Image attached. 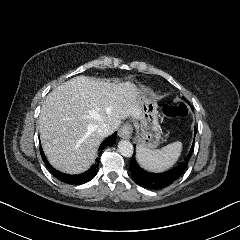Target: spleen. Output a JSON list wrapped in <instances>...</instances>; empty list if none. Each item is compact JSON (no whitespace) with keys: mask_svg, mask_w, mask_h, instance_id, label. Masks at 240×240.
I'll list each match as a JSON object with an SVG mask.
<instances>
[{"mask_svg":"<svg viewBox=\"0 0 240 240\" xmlns=\"http://www.w3.org/2000/svg\"><path fill=\"white\" fill-rule=\"evenodd\" d=\"M181 152L182 143L176 141L155 150L137 147L136 158L142 168L158 173L170 169L177 162Z\"/></svg>","mask_w":240,"mask_h":240,"instance_id":"1","label":"spleen"}]
</instances>
